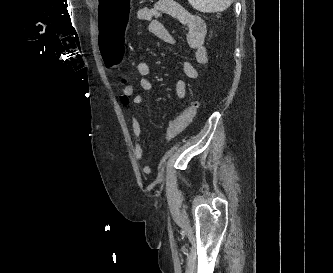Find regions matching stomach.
<instances>
[{
    "label": "stomach",
    "instance_id": "obj_1",
    "mask_svg": "<svg viewBox=\"0 0 333 273\" xmlns=\"http://www.w3.org/2000/svg\"><path fill=\"white\" fill-rule=\"evenodd\" d=\"M132 0H97L95 7L98 38H125L132 28ZM98 51L105 65H124V39H99Z\"/></svg>",
    "mask_w": 333,
    "mask_h": 273
}]
</instances>
